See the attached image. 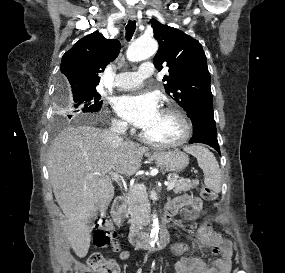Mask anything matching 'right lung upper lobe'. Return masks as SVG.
Returning a JSON list of instances; mask_svg holds the SVG:
<instances>
[{"label":"right lung upper lobe","instance_id":"right-lung-upper-lobe-1","mask_svg":"<svg viewBox=\"0 0 285 273\" xmlns=\"http://www.w3.org/2000/svg\"><path fill=\"white\" fill-rule=\"evenodd\" d=\"M120 52L118 40H108L95 31L67 51L61 61V80L70 91L95 89L100 82V69L113 61Z\"/></svg>","mask_w":285,"mask_h":273}]
</instances>
